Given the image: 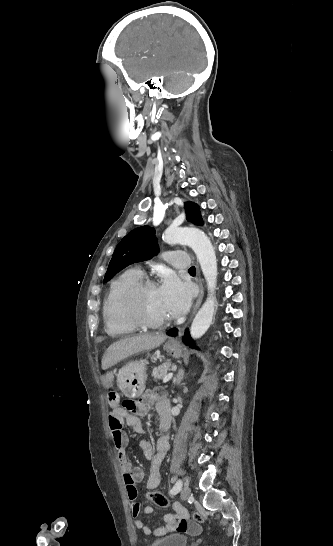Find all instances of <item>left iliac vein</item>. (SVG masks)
Returning a JSON list of instances; mask_svg holds the SVG:
<instances>
[{
  "instance_id": "4c4485c4",
  "label": "left iliac vein",
  "mask_w": 333,
  "mask_h": 546,
  "mask_svg": "<svg viewBox=\"0 0 333 546\" xmlns=\"http://www.w3.org/2000/svg\"><path fill=\"white\" fill-rule=\"evenodd\" d=\"M190 494H191L190 487L186 485L181 491V499L187 500L190 497Z\"/></svg>"
}]
</instances>
